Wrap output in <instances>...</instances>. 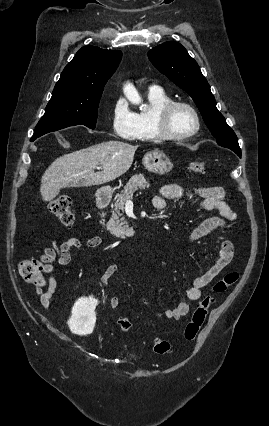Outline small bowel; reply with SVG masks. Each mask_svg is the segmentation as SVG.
I'll return each mask as SVG.
<instances>
[{"instance_id": "c3829d8e", "label": "small bowel", "mask_w": 269, "mask_h": 426, "mask_svg": "<svg viewBox=\"0 0 269 426\" xmlns=\"http://www.w3.org/2000/svg\"><path fill=\"white\" fill-rule=\"evenodd\" d=\"M184 196L198 198V208L203 211H218L219 215L203 221L191 234V241L195 242L215 231L223 229L228 222L236 219L235 213L225 202V191L222 187H195L189 190L176 184H167L160 188L159 194L153 199V206L157 210H163L167 199H180ZM103 242L101 236H93L86 240L79 238H69L63 242L52 241L50 246L43 249L39 259L42 270L47 274L45 288L36 286L35 290L40 298L41 305L48 310L51 299L57 288V280L54 276V262L59 265H67L71 261V250L83 248H97ZM234 256V247L229 240L221 243L220 253L214 264L202 275L193 280L192 286L187 290L186 299L182 300L175 308L168 309L158 315L161 318L179 320L190 310L191 303L197 301L202 296V290L207 287L220 272L230 264ZM120 270L117 263L111 264L103 271L100 282L106 288L110 279ZM142 303L148 306L146 298H142ZM120 305L118 297L110 300V306L116 308Z\"/></svg>"}]
</instances>
